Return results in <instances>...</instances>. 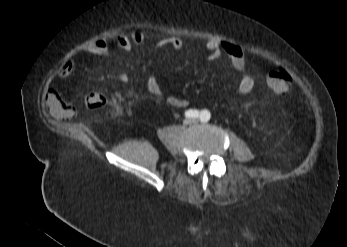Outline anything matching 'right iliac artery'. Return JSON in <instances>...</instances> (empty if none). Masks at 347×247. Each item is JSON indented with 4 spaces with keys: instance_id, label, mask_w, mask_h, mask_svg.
I'll return each instance as SVG.
<instances>
[{
    "instance_id": "1",
    "label": "right iliac artery",
    "mask_w": 347,
    "mask_h": 247,
    "mask_svg": "<svg viewBox=\"0 0 347 247\" xmlns=\"http://www.w3.org/2000/svg\"><path fill=\"white\" fill-rule=\"evenodd\" d=\"M185 117L187 118H198L199 117V111L195 109H189L185 112Z\"/></svg>"
}]
</instances>
